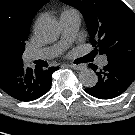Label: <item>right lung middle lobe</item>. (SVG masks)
Wrapping results in <instances>:
<instances>
[{"label":"right lung middle lobe","mask_w":135,"mask_h":135,"mask_svg":"<svg viewBox=\"0 0 135 135\" xmlns=\"http://www.w3.org/2000/svg\"><path fill=\"white\" fill-rule=\"evenodd\" d=\"M29 34L23 30L15 29L9 25H0V57L22 62L25 43Z\"/></svg>","instance_id":"right-lung-middle-lobe-1"}]
</instances>
